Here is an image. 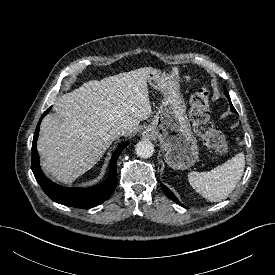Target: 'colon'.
I'll return each mask as SVG.
<instances>
[{
	"label": "colon",
	"mask_w": 275,
	"mask_h": 275,
	"mask_svg": "<svg viewBox=\"0 0 275 275\" xmlns=\"http://www.w3.org/2000/svg\"><path fill=\"white\" fill-rule=\"evenodd\" d=\"M210 92L207 88H200L190 99L189 118L194 133L204 144L217 153L227 151L225 135L213 126L210 120Z\"/></svg>",
	"instance_id": "5ec220e1"
}]
</instances>
